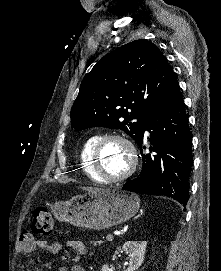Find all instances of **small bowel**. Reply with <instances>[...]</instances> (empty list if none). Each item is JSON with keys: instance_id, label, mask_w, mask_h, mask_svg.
<instances>
[{"instance_id": "1", "label": "small bowel", "mask_w": 221, "mask_h": 271, "mask_svg": "<svg viewBox=\"0 0 221 271\" xmlns=\"http://www.w3.org/2000/svg\"><path fill=\"white\" fill-rule=\"evenodd\" d=\"M67 245L74 249L78 254L85 255L87 253L86 245L80 240H70ZM42 250L51 254H57L62 249V244L58 241L50 242L45 239L22 240L17 247L18 252L32 253L35 250ZM59 271H84V268L78 264L72 266H63Z\"/></svg>"}]
</instances>
